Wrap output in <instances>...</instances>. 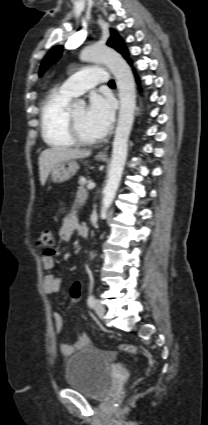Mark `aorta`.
<instances>
[{"instance_id": "obj_1", "label": "aorta", "mask_w": 208, "mask_h": 425, "mask_svg": "<svg viewBox=\"0 0 208 425\" xmlns=\"http://www.w3.org/2000/svg\"><path fill=\"white\" fill-rule=\"evenodd\" d=\"M80 59L85 62L104 63L114 75L119 91V117L113 141L108 180L103 191L101 207V217H105L118 190L127 158L128 138L136 108V88L129 65L115 50L105 46L93 45L81 52ZM77 104L82 105L84 101L78 100Z\"/></svg>"}]
</instances>
